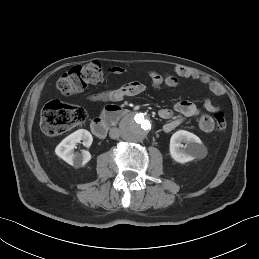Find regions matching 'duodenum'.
Segmentation results:
<instances>
[{"label":"duodenum","mask_w":259,"mask_h":259,"mask_svg":"<svg viewBox=\"0 0 259 259\" xmlns=\"http://www.w3.org/2000/svg\"><path fill=\"white\" fill-rule=\"evenodd\" d=\"M130 112L117 105H108L100 117L95 118L91 123L92 133L98 138H104L107 135L110 125L117 119L129 115Z\"/></svg>","instance_id":"410a0bca"}]
</instances>
